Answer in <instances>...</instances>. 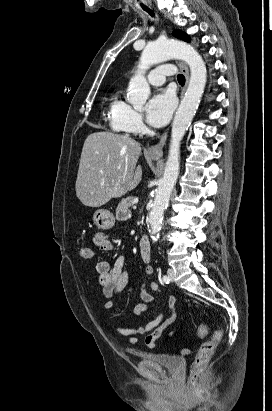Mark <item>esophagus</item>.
Masks as SVG:
<instances>
[{
  "mask_svg": "<svg viewBox=\"0 0 272 411\" xmlns=\"http://www.w3.org/2000/svg\"><path fill=\"white\" fill-rule=\"evenodd\" d=\"M178 66H179L180 70L182 71V73L185 76V85H184V87L181 91V97H182L185 90H186L188 82H189V69H188L187 65L183 62H178ZM167 135H168V130L163 133V135L161 136V138H160V140L157 144L152 145L147 149L146 153L150 156H156V157L162 156L163 147H164V145L166 143V140H167Z\"/></svg>",
  "mask_w": 272,
  "mask_h": 411,
  "instance_id": "esophagus-1",
  "label": "esophagus"
}]
</instances>
